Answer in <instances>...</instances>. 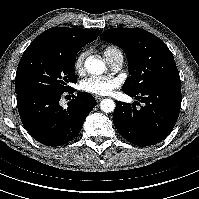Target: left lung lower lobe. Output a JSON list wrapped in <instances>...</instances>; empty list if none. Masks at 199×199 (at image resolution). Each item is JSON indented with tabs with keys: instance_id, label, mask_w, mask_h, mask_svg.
Segmentation results:
<instances>
[{
	"instance_id": "0a47b994",
	"label": "left lung lower lobe",
	"mask_w": 199,
	"mask_h": 199,
	"mask_svg": "<svg viewBox=\"0 0 199 199\" xmlns=\"http://www.w3.org/2000/svg\"><path fill=\"white\" fill-rule=\"evenodd\" d=\"M123 92L144 103L137 110L134 104L116 101L113 122L123 138L145 147L170 134L180 112L181 84L151 87L140 93Z\"/></svg>"
}]
</instances>
